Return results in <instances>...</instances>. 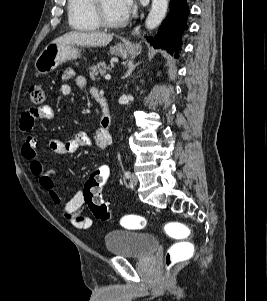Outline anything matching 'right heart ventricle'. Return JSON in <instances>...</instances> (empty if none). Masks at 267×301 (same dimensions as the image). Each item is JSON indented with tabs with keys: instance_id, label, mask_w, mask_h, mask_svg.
Instances as JSON below:
<instances>
[{
	"instance_id": "1",
	"label": "right heart ventricle",
	"mask_w": 267,
	"mask_h": 301,
	"mask_svg": "<svg viewBox=\"0 0 267 301\" xmlns=\"http://www.w3.org/2000/svg\"><path fill=\"white\" fill-rule=\"evenodd\" d=\"M68 21L74 30L93 32L101 28L93 11V0H68Z\"/></svg>"
}]
</instances>
